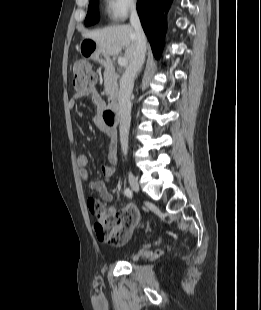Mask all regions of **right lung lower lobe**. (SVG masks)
I'll return each instance as SVG.
<instances>
[{"label":"right lung lower lobe","mask_w":261,"mask_h":310,"mask_svg":"<svg viewBox=\"0 0 261 310\" xmlns=\"http://www.w3.org/2000/svg\"><path fill=\"white\" fill-rule=\"evenodd\" d=\"M172 0H138L137 10L142 27L151 44L153 54L159 57L166 32V16Z\"/></svg>","instance_id":"98d812e1"}]
</instances>
